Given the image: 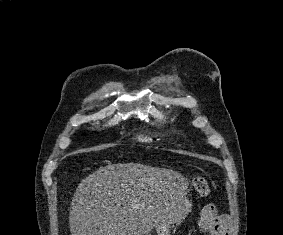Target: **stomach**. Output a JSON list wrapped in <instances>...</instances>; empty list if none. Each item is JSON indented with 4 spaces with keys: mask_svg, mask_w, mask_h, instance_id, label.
Wrapping results in <instances>:
<instances>
[{
    "mask_svg": "<svg viewBox=\"0 0 283 235\" xmlns=\"http://www.w3.org/2000/svg\"><path fill=\"white\" fill-rule=\"evenodd\" d=\"M191 206V201L186 194H179L175 200L172 216L161 221L158 225L143 235H152L153 232H155L156 235H170L171 225L180 223L182 218L190 212Z\"/></svg>",
    "mask_w": 283,
    "mask_h": 235,
    "instance_id": "1",
    "label": "stomach"
}]
</instances>
